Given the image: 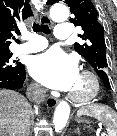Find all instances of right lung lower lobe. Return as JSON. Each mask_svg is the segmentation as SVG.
<instances>
[{
  "instance_id": "right-lung-lower-lobe-1",
  "label": "right lung lower lobe",
  "mask_w": 117,
  "mask_h": 136,
  "mask_svg": "<svg viewBox=\"0 0 117 136\" xmlns=\"http://www.w3.org/2000/svg\"><path fill=\"white\" fill-rule=\"evenodd\" d=\"M26 73L25 67L22 65L15 71L0 70V88L4 89H20L23 87Z\"/></svg>"
}]
</instances>
